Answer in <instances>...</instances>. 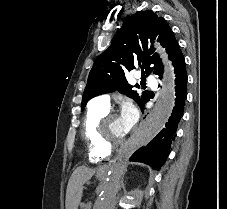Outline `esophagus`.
Returning a JSON list of instances; mask_svg holds the SVG:
<instances>
[{
	"instance_id": "esophagus-1",
	"label": "esophagus",
	"mask_w": 227,
	"mask_h": 209,
	"mask_svg": "<svg viewBox=\"0 0 227 209\" xmlns=\"http://www.w3.org/2000/svg\"><path fill=\"white\" fill-rule=\"evenodd\" d=\"M151 113H153V108H146V112H144V116H142L141 122V128H145L147 122L149 121V117H151ZM121 155H124V152H121ZM125 160L124 156H119L118 159L115 160L116 164H123ZM115 164H110L109 166H103V169H100L99 172L96 173L97 177H106L107 174L112 171V169H115Z\"/></svg>"
}]
</instances>
